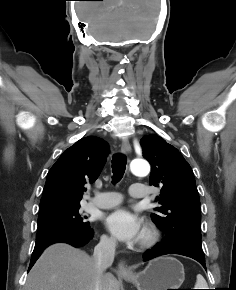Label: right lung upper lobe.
I'll return each mask as SVG.
<instances>
[{
	"instance_id": "cb5924a9",
	"label": "right lung upper lobe",
	"mask_w": 236,
	"mask_h": 290,
	"mask_svg": "<svg viewBox=\"0 0 236 290\" xmlns=\"http://www.w3.org/2000/svg\"><path fill=\"white\" fill-rule=\"evenodd\" d=\"M108 154V144L93 136L65 150L47 174L40 210L80 204L85 185L98 178Z\"/></svg>"
}]
</instances>
